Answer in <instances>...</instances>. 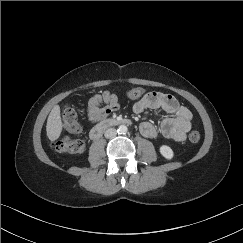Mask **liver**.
Segmentation results:
<instances>
[{
	"label": "liver",
	"mask_w": 243,
	"mask_h": 243,
	"mask_svg": "<svg viewBox=\"0 0 243 243\" xmlns=\"http://www.w3.org/2000/svg\"><path fill=\"white\" fill-rule=\"evenodd\" d=\"M63 124L60 116V107L55 105L47 119L46 132L50 141L57 140L62 132Z\"/></svg>",
	"instance_id": "liver-1"
}]
</instances>
